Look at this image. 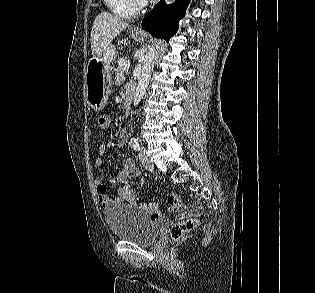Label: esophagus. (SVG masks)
Wrapping results in <instances>:
<instances>
[{
    "mask_svg": "<svg viewBox=\"0 0 315 293\" xmlns=\"http://www.w3.org/2000/svg\"><path fill=\"white\" fill-rule=\"evenodd\" d=\"M134 30L137 31V32H142V29L139 26L135 27Z\"/></svg>",
    "mask_w": 315,
    "mask_h": 293,
    "instance_id": "1",
    "label": "esophagus"
}]
</instances>
